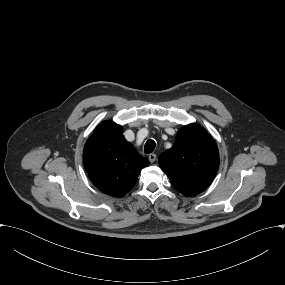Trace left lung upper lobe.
<instances>
[{"instance_id": "1", "label": "left lung upper lobe", "mask_w": 285, "mask_h": 285, "mask_svg": "<svg viewBox=\"0 0 285 285\" xmlns=\"http://www.w3.org/2000/svg\"><path fill=\"white\" fill-rule=\"evenodd\" d=\"M159 165L174 188L185 196L204 191L219 167L215 141L197 124L181 128L171 149L159 157Z\"/></svg>"}]
</instances>
